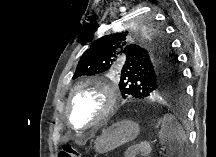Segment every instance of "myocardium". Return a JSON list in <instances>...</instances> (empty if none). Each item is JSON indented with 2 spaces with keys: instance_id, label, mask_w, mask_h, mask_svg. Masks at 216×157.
<instances>
[{
  "instance_id": "myocardium-1",
  "label": "myocardium",
  "mask_w": 216,
  "mask_h": 157,
  "mask_svg": "<svg viewBox=\"0 0 216 157\" xmlns=\"http://www.w3.org/2000/svg\"><path fill=\"white\" fill-rule=\"evenodd\" d=\"M83 89H91L100 93L104 99V104L100 109V111L98 112V114L96 115V117L92 121H90L87 124L78 126L73 122L71 107L74 103L76 94ZM118 103H119V95L111 84L96 79L84 80L76 84L69 92L68 102H67V114L70 119L69 122L71 126L76 129L91 128L108 119L117 108Z\"/></svg>"
}]
</instances>
